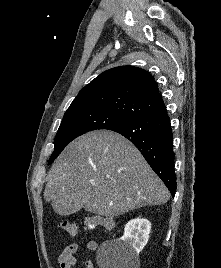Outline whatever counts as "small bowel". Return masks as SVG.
<instances>
[{
  "label": "small bowel",
  "instance_id": "c3829d8e",
  "mask_svg": "<svg viewBox=\"0 0 221 268\" xmlns=\"http://www.w3.org/2000/svg\"><path fill=\"white\" fill-rule=\"evenodd\" d=\"M98 244L94 240H90L86 243V248L89 251H95ZM80 246L77 243H71L67 245L58 256V264L60 268H72L76 262L75 254L79 251ZM84 268H94V264L91 260H86Z\"/></svg>",
  "mask_w": 221,
  "mask_h": 268
}]
</instances>
